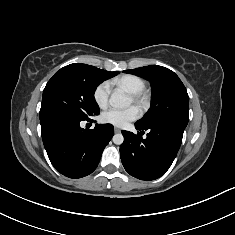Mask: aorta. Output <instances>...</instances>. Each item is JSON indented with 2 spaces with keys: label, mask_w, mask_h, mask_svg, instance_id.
Instances as JSON below:
<instances>
[{
  "label": "aorta",
  "mask_w": 235,
  "mask_h": 235,
  "mask_svg": "<svg viewBox=\"0 0 235 235\" xmlns=\"http://www.w3.org/2000/svg\"><path fill=\"white\" fill-rule=\"evenodd\" d=\"M109 102L114 107L124 108L130 105L131 100L121 89H116L111 94ZM112 140L114 144L121 145L124 141V137L121 133H118L113 136Z\"/></svg>",
  "instance_id": "aorta-1"
}]
</instances>
